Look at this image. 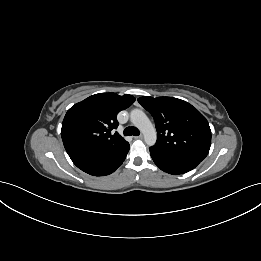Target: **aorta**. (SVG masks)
Here are the masks:
<instances>
[{
  "label": "aorta",
  "instance_id": "obj_1",
  "mask_svg": "<svg viewBox=\"0 0 261 261\" xmlns=\"http://www.w3.org/2000/svg\"><path fill=\"white\" fill-rule=\"evenodd\" d=\"M131 122L136 126L144 135V140L147 145L152 146L156 142V132L153 124L140 109H134L130 114Z\"/></svg>",
  "mask_w": 261,
  "mask_h": 261
}]
</instances>
